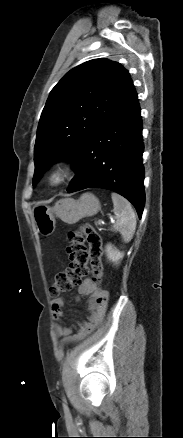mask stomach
I'll use <instances>...</instances> for the list:
<instances>
[{
	"label": "stomach",
	"instance_id": "stomach-1",
	"mask_svg": "<svg viewBox=\"0 0 183 438\" xmlns=\"http://www.w3.org/2000/svg\"><path fill=\"white\" fill-rule=\"evenodd\" d=\"M100 209L99 200L91 193L83 194L78 200L64 198L54 207L36 205L32 209V218L38 233L49 236L55 231V217L67 224H75L84 217H90Z\"/></svg>",
	"mask_w": 183,
	"mask_h": 438
}]
</instances>
